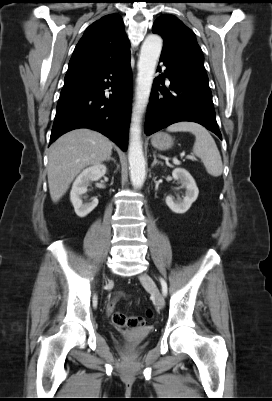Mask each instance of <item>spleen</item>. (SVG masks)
I'll use <instances>...</instances> for the list:
<instances>
[{"instance_id":"obj_1","label":"spleen","mask_w":272,"mask_h":401,"mask_svg":"<svg viewBox=\"0 0 272 401\" xmlns=\"http://www.w3.org/2000/svg\"><path fill=\"white\" fill-rule=\"evenodd\" d=\"M169 132L184 131L195 135L193 154L201 159L208 174L218 177L223 172L220 152L210 133L194 122L182 121L167 127Z\"/></svg>"}]
</instances>
